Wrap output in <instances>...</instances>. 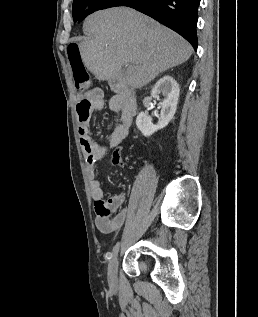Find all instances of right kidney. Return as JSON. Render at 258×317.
<instances>
[{"instance_id": "1", "label": "right kidney", "mask_w": 258, "mask_h": 317, "mask_svg": "<svg viewBox=\"0 0 258 317\" xmlns=\"http://www.w3.org/2000/svg\"><path fill=\"white\" fill-rule=\"evenodd\" d=\"M161 92L164 98L159 102L162 106L159 122L153 124L152 118L146 112H139L136 118L137 128L143 132L144 136H150V134H153L159 128L167 126L176 112L180 94V86L177 80L169 76V74H165V76L159 78L151 90V96L159 98Z\"/></svg>"}]
</instances>
